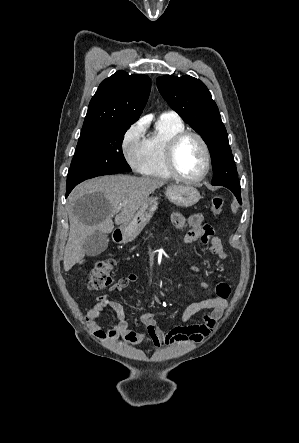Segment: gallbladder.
I'll list each match as a JSON object with an SVG mask.
<instances>
[{"label": "gallbladder", "instance_id": "obj_1", "mask_svg": "<svg viewBox=\"0 0 299 443\" xmlns=\"http://www.w3.org/2000/svg\"><path fill=\"white\" fill-rule=\"evenodd\" d=\"M108 243V236L97 231L86 238L83 249L87 256H97L107 249Z\"/></svg>", "mask_w": 299, "mask_h": 443}]
</instances>
